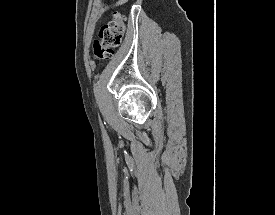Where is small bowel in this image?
<instances>
[{
	"mask_svg": "<svg viewBox=\"0 0 275 215\" xmlns=\"http://www.w3.org/2000/svg\"><path fill=\"white\" fill-rule=\"evenodd\" d=\"M124 2H125V0H115L112 4L113 5H119V4H122Z\"/></svg>",
	"mask_w": 275,
	"mask_h": 215,
	"instance_id": "c3829d8e",
	"label": "small bowel"
}]
</instances>
